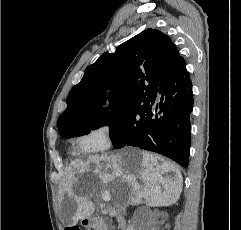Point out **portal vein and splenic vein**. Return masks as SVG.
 <instances>
[{
	"mask_svg": "<svg viewBox=\"0 0 241 230\" xmlns=\"http://www.w3.org/2000/svg\"><path fill=\"white\" fill-rule=\"evenodd\" d=\"M102 199L104 201H110L111 197H110V195L108 193H105V194L102 195Z\"/></svg>",
	"mask_w": 241,
	"mask_h": 230,
	"instance_id": "obj_1",
	"label": "portal vein and splenic vein"
}]
</instances>
